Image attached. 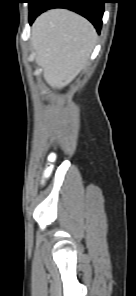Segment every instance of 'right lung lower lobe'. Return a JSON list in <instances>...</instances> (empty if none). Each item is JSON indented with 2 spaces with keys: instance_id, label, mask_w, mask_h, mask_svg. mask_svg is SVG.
Segmentation results:
<instances>
[{
  "instance_id": "right-lung-lower-lobe-1",
  "label": "right lung lower lobe",
  "mask_w": 136,
  "mask_h": 296,
  "mask_svg": "<svg viewBox=\"0 0 136 296\" xmlns=\"http://www.w3.org/2000/svg\"><path fill=\"white\" fill-rule=\"evenodd\" d=\"M105 0H36L29 7V23L42 12L52 8H66L87 18L100 33Z\"/></svg>"
}]
</instances>
